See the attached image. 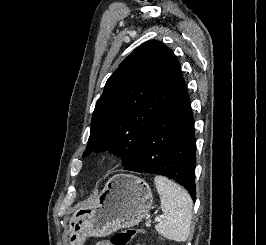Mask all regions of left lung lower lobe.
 <instances>
[{
	"label": "left lung lower lobe",
	"mask_w": 266,
	"mask_h": 245,
	"mask_svg": "<svg viewBox=\"0 0 266 245\" xmlns=\"http://www.w3.org/2000/svg\"><path fill=\"white\" fill-rule=\"evenodd\" d=\"M185 82L142 137L137 156L125 170L175 180L196 200V139Z\"/></svg>",
	"instance_id": "obj_1"
}]
</instances>
